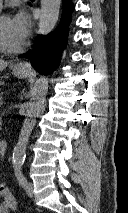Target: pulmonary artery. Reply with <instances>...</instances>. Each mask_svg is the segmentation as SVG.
Here are the masks:
<instances>
[{
	"instance_id": "e3ab8cb5",
	"label": "pulmonary artery",
	"mask_w": 128,
	"mask_h": 213,
	"mask_svg": "<svg viewBox=\"0 0 128 213\" xmlns=\"http://www.w3.org/2000/svg\"><path fill=\"white\" fill-rule=\"evenodd\" d=\"M1 7H2V0H0V9H1Z\"/></svg>"
}]
</instances>
